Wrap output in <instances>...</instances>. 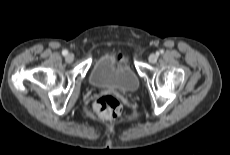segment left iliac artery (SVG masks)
Listing matches in <instances>:
<instances>
[{
	"label": "left iliac artery",
	"instance_id": "left-iliac-artery-1",
	"mask_svg": "<svg viewBox=\"0 0 230 155\" xmlns=\"http://www.w3.org/2000/svg\"><path fill=\"white\" fill-rule=\"evenodd\" d=\"M163 52H164L163 50H160V51H159V53H161V54H162ZM159 53H158V54H159Z\"/></svg>",
	"mask_w": 230,
	"mask_h": 155
}]
</instances>
